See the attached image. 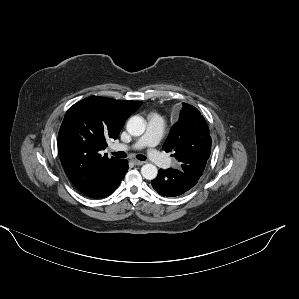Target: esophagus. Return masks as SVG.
<instances>
[{"instance_id": "34e87169", "label": "esophagus", "mask_w": 299, "mask_h": 299, "mask_svg": "<svg viewBox=\"0 0 299 299\" xmlns=\"http://www.w3.org/2000/svg\"><path fill=\"white\" fill-rule=\"evenodd\" d=\"M132 162H133V164L134 165H136V166H141V165H143L144 164V162L143 161H139V160H132Z\"/></svg>"}]
</instances>
